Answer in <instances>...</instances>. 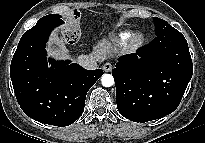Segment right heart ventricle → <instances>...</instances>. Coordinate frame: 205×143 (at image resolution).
<instances>
[{
    "label": "right heart ventricle",
    "instance_id": "obj_1",
    "mask_svg": "<svg viewBox=\"0 0 205 143\" xmlns=\"http://www.w3.org/2000/svg\"><path fill=\"white\" fill-rule=\"evenodd\" d=\"M131 37L130 31H125L119 34L117 41L119 44H125Z\"/></svg>",
    "mask_w": 205,
    "mask_h": 143
}]
</instances>
